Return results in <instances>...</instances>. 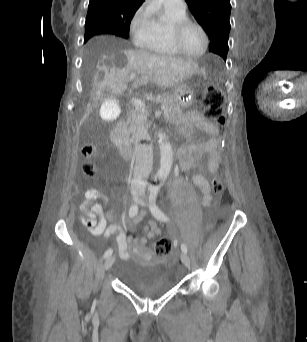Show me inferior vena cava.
Listing matches in <instances>:
<instances>
[{"label": "inferior vena cava", "mask_w": 307, "mask_h": 342, "mask_svg": "<svg viewBox=\"0 0 307 342\" xmlns=\"http://www.w3.org/2000/svg\"><path fill=\"white\" fill-rule=\"evenodd\" d=\"M142 130L136 132L135 142V166L133 172V178L131 182V192H144L149 178L150 172H152L153 166V150L151 146L143 148L139 144Z\"/></svg>", "instance_id": "1"}]
</instances>
